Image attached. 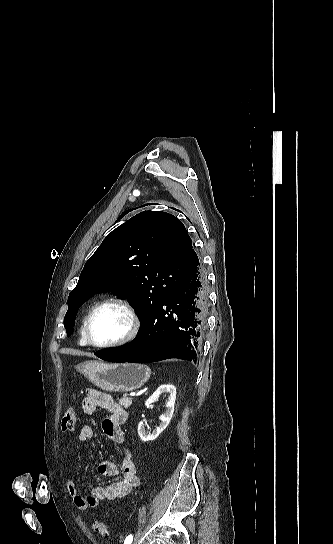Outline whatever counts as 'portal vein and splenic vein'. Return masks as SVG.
Returning a JSON list of instances; mask_svg holds the SVG:
<instances>
[{
	"label": "portal vein and splenic vein",
	"mask_w": 333,
	"mask_h": 544,
	"mask_svg": "<svg viewBox=\"0 0 333 544\" xmlns=\"http://www.w3.org/2000/svg\"><path fill=\"white\" fill-rule=\"evenodd\" d=\"M130 396H131V397L135 396V393H130Z\"/></svg>",
	"instance_id": "obj_1"
}]
</instances>
